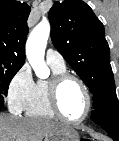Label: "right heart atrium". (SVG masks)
Masks as SVG:
<instances>
[{"mask_svg": "<svg viewBox=\"0 0 119 141\" xmlns=\"http://www.w3.org/2000/svg\"><path fill=\"white\" fill-rule=\"evenodd\" d=\"M34 86L35 82L30 66L22 65L10 80L7 89V100L12 112L20 113L26 109Z\"/></svg>", "mask_w": 119, "mask_h": 141, "instance_id": "d8ad5b80", "label": "right heart atrium"}]
</instances>
